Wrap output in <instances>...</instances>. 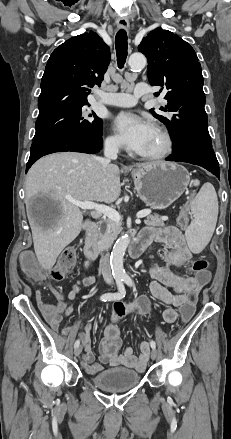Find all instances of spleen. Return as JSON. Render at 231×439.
I'll use <instances>...</instances> for the list:
<instances>
[{
    "label": "spleen",
    "mask_w": 231,
    "mask_h": 439,
    "mask_svg": "<svg viewBox=\"0 0 231 439\" xmlns=\"http://www.w3.org/2000/svg\"><path fill=\"white\" fill-rule=\"evenodd\" d=\"M194 219L185 235L193 253L201 252L209 243L217 222L218 199L214 186L205 183L191 204Z\"/></svg>",
    "instance_id": "3e777b00"
}]
</instances>
